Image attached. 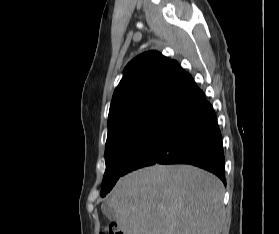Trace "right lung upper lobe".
Masks as SVG:
<instances>
[{"label": "right lung upper lobe", "mask_w": 279, "mask_h": 234, "mask_svg": "<svg viewBox=\"0 0 279 234\" xmlns=\"http://www.w3.org/2000/svg\"><path fill=\"white\" fill-rule=\"evenodd\" d=\"M190 74L157 51L134 58L114 91L108 120L147 106L171 107L193 86Z\"/></svg>", "instance_id": "cb5924a9"}]
</instances>
